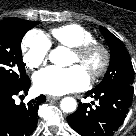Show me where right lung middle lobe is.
Instances as JSON below:
<instances>
[{
	"label": "right lung middle lobe",
	"mask_w": 136,
	"mask_h": 136,
	"mask_svg": "<svg viewBox=\"0 0 136 136\" xmlns=\"http://www.w3.org/2000/svg\"><path fill=\"white\" fill-rule=\"evenodd\" d=\"M38 22L18 18L0 21V90H12L25 82L21 41Z\"/></svg>",
	"instance_id": "obj_1"
}]
</instances>
